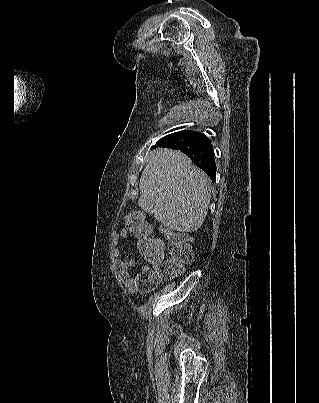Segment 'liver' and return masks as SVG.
<instances>
[{"label":"liver","instance_id":"liver-1","mask_svg":"<svg viewBox=\"0 0 319 403\" xmlns=\"http://www.w3.org/2000/svg\"><path fill=\"white\" fill-rule=\"evenodd\" d=\"M139 207L167 228L198 230L210 204V180L182 152L155 150L140 178Z\"/></svg>","mask_w":319,"mask_h":403}]
</instances>
